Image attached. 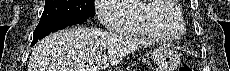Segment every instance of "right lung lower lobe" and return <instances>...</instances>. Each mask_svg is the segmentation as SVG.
I'll list each match as a JSON object with an SVG mask.
<instances>
[{"mask_svg": "<svg viewBox=\"0 0 230 71\" xmlns=\"http://www.w3.org/2000/svg\"><path fill=\"white\" fill-rule=\"evenodd\" d=\"M85 21L86 18H70V19H63V20L53 21V22L39 23L33 34L32 45H34L38 40H41L42 38H44L45 36H47L49 33L53 31L61 30L67 26L80 24Z\"/></svg>", "mask_w": 230, "mask_h": 71, "instance_id": "1", "label": "right lung lower lobe"}]
</instances>
